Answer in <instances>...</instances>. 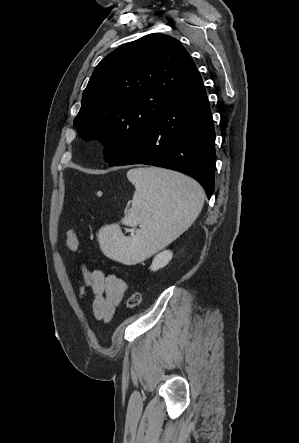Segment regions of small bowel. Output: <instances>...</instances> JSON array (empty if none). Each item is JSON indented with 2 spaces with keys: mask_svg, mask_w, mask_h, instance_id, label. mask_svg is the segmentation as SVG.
<instances>
[{
  "mask_svg": "<svg viewBox=\"0 0 299 443\" xmlns=\"http://www.w3.org/2000/svg\"><path fill=\"white\" fill-rule=\"evenodd\" d=\"M83 280L79 286L80 297L87 290L93 294L92 310L97 320L108 323L126 292V282L113 273H105L99 268L88 269L82 266Z\"/></svg>",
  "mask_w": 299,
  "mask_h": 443,
  "instance_id": "c3829d8e",
  "label": "small bowel"
}]
</instances>
